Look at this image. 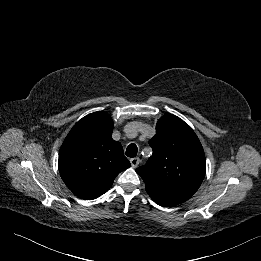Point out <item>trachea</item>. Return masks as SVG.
<instances>
[{"mask_svg": "<svg viewBox=\"0 0 261 261\" xmlns=\"http://www.w3.org/2000/svg\"><path fill=\"white\" fill-rule=\"evenodd\" d=\"M137 152H138V148L136 144L131 143L126 149V156L133 158L137 155Z\"/></svg>", "mask_w": 261, "mask_h": 261, "instance_id": "trachea-1", "label": "trachea"}]
</instances>
